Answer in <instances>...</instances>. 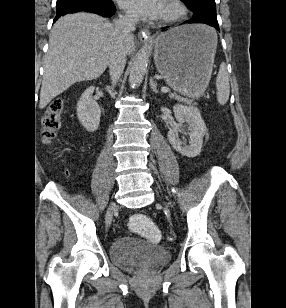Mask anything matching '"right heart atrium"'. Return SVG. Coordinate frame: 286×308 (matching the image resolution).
Here are the masks:
<instances>
[{
    "mask_svg": "<svg viewBox=\"0 0 286 308\" xmlns=\"http://www.w3.org/2000/svg\"><path fill=\"white\" fill-rule=\"evenodd\" d=\"M124 19H126V20H131L129 17H124Z\"/></svg>",
    "mask_w": 286,
    "mask_h": 308,
    "instance_id": "right-heart-atrium-1",
    "label": "right heart atrium"
}]
</instances>
